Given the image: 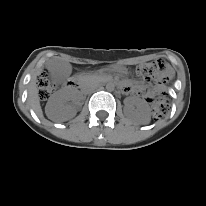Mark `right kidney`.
I'll return each mask as SVG.
<instances>
[{
  "label": "right kidney",
  "mask_w": 206,
  "mask_h": 206,
  "mask_svg": "<svg viewBox=\"0 0 206 206\" xmlns=\"http://www.w3.org/2000/svg\"><path fill=\"white\" fill-rule=\"evenodd\" d=\"M77 92H57L47 102L45 112L53 121H64L75 116V110L67 104L69 99H76Z\"/></svg>",
  "instance_id": "1"
}]
</instances>
